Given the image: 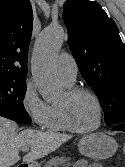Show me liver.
<instances>
[{
	"label": "liver",
	"mask_w": 125,
	"mask_h": 167,
	"mask_svg": "<svg viewBox=\"0 0 125 167\" xmlns=\"http://www.w3.org/2000/svg\"><path fill=\"white\" fill-rule=\"evenodd\" d=\"M70 135L48 133L37 130H23L18 133L15 122L0 117V167H10L19 160V150L30 147L31 151L23 157L24 162H33L55 151Z\"/></svg>",
	"instance_id": "liver-1"
}]
</instances>
